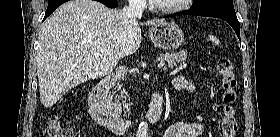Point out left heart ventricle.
I'll return each instance as SVG.
<instances>
[{
  "mask_svg": "<svg viewBox=\"0 0 280 137\" xmlns=\"http://www.w3.org/2000/svg\"><path fill=\"white\" fill-rule=\"evenodd\" d=\"M158 4L165 5V6H173L179 3V0H158ZM170 27V26H168Z\"/></svg>",
  "mask_w": 280,
  "mask_h": 137,
  "instance_id": "left-heart-ventricle-1",
  "label": "left heart ventricle"
}]
</instances>
